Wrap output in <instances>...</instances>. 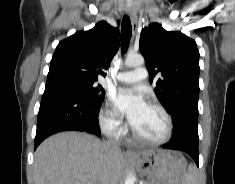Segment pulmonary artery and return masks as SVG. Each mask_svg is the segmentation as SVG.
Wrapping results in <instances>:
<instances>
[{
  "instance_id": "obj_1",
  "label": "pulmonary artery",
  "mask_w": 235,
  "mask_h": 184,
  "mask_svg": "<svg viewBox=\"0 0 235 184\" xmlns=\"http://www.w3.org/2000/svg\"><path fill=\"white\" fill-rule=\"evenodd\" d=\"M149 74V69H135L127 72H119L112 76L115 82L124 84H135L145 79Z\"/></svg>"
}]
</instances>
